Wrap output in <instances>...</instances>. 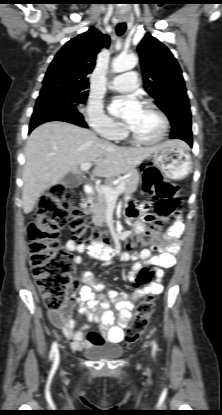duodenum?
Returning <instances> with one entry per match:
<instances>
[{
    "instance_id": "duodenum-1",
    "label": "duodenum",
    "mask_w": 222,
    "mask_h": 415,
    "mask_svg": "<svg viewBox=\"0 0 222 415\" xmlns=\"http://www.w3.org/2000/svg\"><path fill=\"white\" fill-rule=\"evenodd\" d=\"M84 193H85V200L82 202V208L85 211H90L92 208V200L94 197V190L91 185H86L84 187ZM113 230L115 233H119V231L116 229L115 226H113ZM90 251L95 255H102L106 252H108V248L106 246L102 245H96ZM106 258H110V253H106Z\"/></svg>"
}]
</instances>
